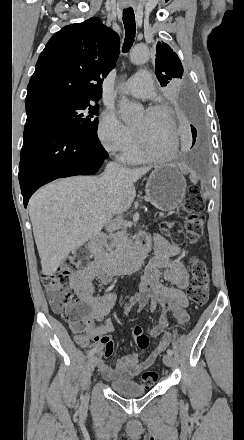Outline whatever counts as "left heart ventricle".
I'll return each instance as SVG.
<instances>
[{
    "instance_id": "b2bd125f",
    "label": "left heart ventricle",
    "mask_w": 244,
    "mask_h": 440,
    "mask_svg": "<svg viewBox=\"0 0 244 440\" xmlns=\"http://www.w3.org/2000/svg\"><path fill=\"white\" fill-rule=\"evenodd\" d=\"M168 112L158 110L142 111L135 122V127L143 134L144 142L149 146H156L162 143L167 146V134L165 130L170 124Z\"/></svg>"
}]
</instances>
